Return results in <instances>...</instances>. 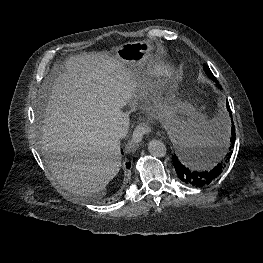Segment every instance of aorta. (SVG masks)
Instances as JSON below:
<instances>
[{
	"instance_id": "1",
	"label": "aorta",
	"mask_w": 263,
	"mask_h": 263,
	"mask_svg": "<svg viewBox=\"0 0 263 263\" xmlns=\"http://www.w3.org/2000/svg\"><path fill=\"white\" fill-rule=\"evenodd\" d=\"M148 151L154 157H164L167 153L165 144L159 140L150 141Z\"/></svg>"
}]
</instances>
